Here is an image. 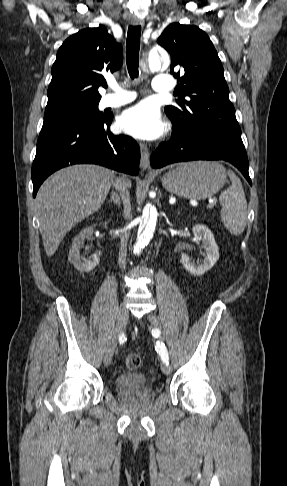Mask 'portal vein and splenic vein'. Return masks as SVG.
Returning <instances> with one entry per match:
<instances>
[{
    "label": "portal vein and splenic vein",
    "instance_id": "18ae733b",
    "mask_svg": "<svg viewBox=\"0 0 287 486\" xmlns=\"http://www.w3.org/2000/svg\"><path fill=\"white\" fill-rule=\"evenodd\" d=\"M215 204H216V203H215L213 200H210V201H209V205H208V207H213V206H215Z\"/></svg>",
    "mask_w": 287,
    "mask_h": 486
}]
</instances>
